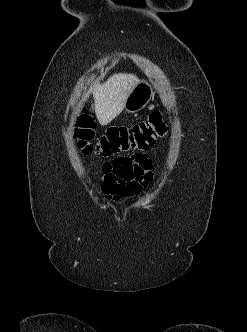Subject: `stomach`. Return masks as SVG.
Instances as JSON below:
<instances>
[{"label":"stomach","instance_id":"0dacf381","mask_svg":"<svg viewBox=\"0 0 247 332\" xmlns=\"http://www.w3.org/2000/svg\"><path fill=\"white\" fill-rule=\"evenodd\" d=\"M154 97L152 85L147 80H140L128 95L124 109L128 113H136L145 108Z\"/></svg>","mask_w":247,"mask_h":332}]
</instances>
